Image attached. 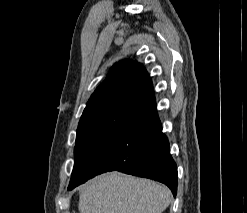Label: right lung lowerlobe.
<instances>
[{
    "label": "right lung lower lobe",
    "instance_id": "1",
    "mask_svg": "<svg viewBox=\"0 0 247 213\" xmlns=\"http://www.w3.org/2000/svg\"><path fill=\"white\" fill-rule=\"evenodd\" d=\"M115 170L164 183L176 195L177 166L162 133L154 96L131 107L115 142L98 160L96 175Z\"/></svg>",
    "mask_w": 247,
    "mask_h": 213
}]
</instances>
